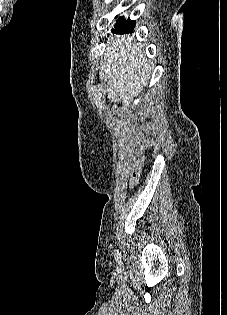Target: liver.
<instances>
[{
	"label": "liver",
	"instance_id": "liver-1",
	"mask_svg": "<svg viewBox=\"0 0 227 315\" xmlns=\"http://www.w3.org/2000/svg\"><path fill=\"white\" fill-rule=\"evenodd\" d=\"M141 47L134 36L117 35L108 42L102 57L99 77L108 81V98L116 102L120 97L124 109L143 90L149 77L150 66Z\"/></svg>",
	"mask_w": 227,
	"mask_h": 315
}]
</instances>
